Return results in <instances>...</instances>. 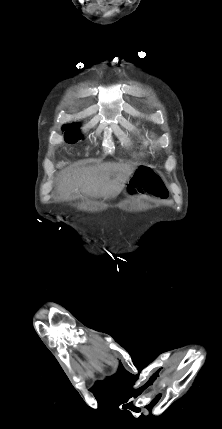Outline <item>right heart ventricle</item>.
<instances>
[{
    "label": "right heart ventricle",
    "instance_id": "obj_1",
    "mask_svg": "<svg viewBox=\"0 0 222 429\" xmlns=\"http://www.w3.org/2000/svg\"><path fill=\"white\" fill-rule=\"evenodd\" d=\"M137 143H138V147H137L138 153H137V155L138 156H143L144 151L147 148L149 141H148V139L146 137H140V138H138Z\"/></svg>",
    "mask_w": 222,
    "mask_h": 429
}]
</instances>
